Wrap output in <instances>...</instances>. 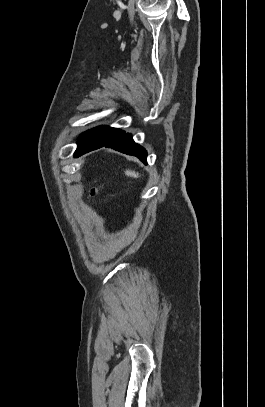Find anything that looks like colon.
I'll use <instances>...</instances> for the list:
<instances>
[{
	"instance_id": "colon-1",
	"label": "colon",
	"mask_w": 265,
	"mask_h": 407,
	"mask_svg": "<svg viewBox=\"0 0 265 407\" xmlns=\"http://www.w3.org/2000/svg\"><path fill=\"white\" fill-rule=\"evenodd\" d=\"M102 191H103V183H102L101 181L97 180V181H96V185L93 186V187L90 189L87 198H88L89 200L98 198V197H100V196L102 195Z\"/></svg>"
}]
</instances>
